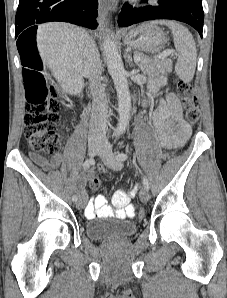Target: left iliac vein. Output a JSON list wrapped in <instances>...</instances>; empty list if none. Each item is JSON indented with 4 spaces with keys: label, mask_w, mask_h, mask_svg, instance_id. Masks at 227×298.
I'll return each mask as SVG.
<instances>
[{
    "label": "left iliac vein",
    "mask_w": 227,
    "mask_h": 298,
    "mask_svg": "<svg viewBox=\"0 0 227 298\" xmlns=\"http://www.w3.org/2000/svg\"><path fill=\"white\" fill-rule=\"evenodd\" d=\"M98 155L105 163V165L110 169L120 170L122 168V163L116 158V155L112 152V149L109 144H103L98 152ZM139 196L141 201L147 202L150 197L148 188L142 187Z\"/></svg>",
    "instance_id": "left-iliac-vein-1"
}]
</instances>
